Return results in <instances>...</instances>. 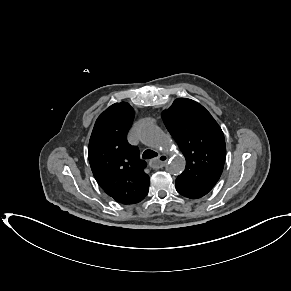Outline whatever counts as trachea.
I'll return each instance as SVG.
<instances>
[{
	"mask_svg": "<svg viewBox=\"0 0 291 291\" xmlns=\"http://www.w3.org/2000/svg\"><path fill=\"white\" fill-rule=\"evenodd\" d=\"M158 154L152 150H145L142 157L143 159H150L156 157Z\"/></svg>",
	"mask_w": 291,
	"mask_h": 291,
	"instance_id": "obj_1",
	"label": "trachea"
}]
</instances>
